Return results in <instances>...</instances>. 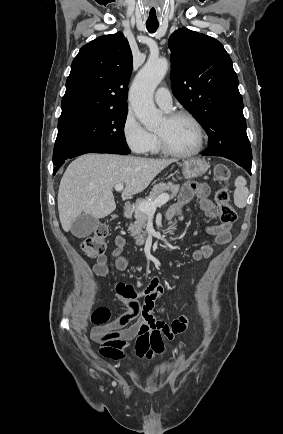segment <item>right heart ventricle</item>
Wrapping results in <instances>:
<instances>
[{
	"label": "right heart ventricle",
	"instance_id": "right-heart-ventricle-1",
	"mask_svg": "<svg viewBox=\"0 0 283 434\" xmlns=\"http://www.w3.org/2000/svg\"><path fill=\"white\" fill-rule=\"evenodd\" d=\"M160 150H161V148H160L158 138H157V136H155V140H154L149 151L153 154H157Z\"/></svg>",
	"mask_w": 283,
	"mask_h": 434
}]
</instances>
